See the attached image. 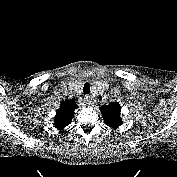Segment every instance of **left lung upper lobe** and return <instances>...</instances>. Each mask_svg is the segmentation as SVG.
<instances>
[{
    "label": "left lung upper lobe",
    "mask_w": 177,
    "mask_h": 177,
    "mask_svg": "<svg viewBox=\"0 0 177 177\" xmlns=\"http://www.w3.org/2000/svg\"><path fill=\"white\" fill-rule=\"evenodd\" d=\"M120 112V105L116 102H111L108 105L101 107L104 122L106 125L114 129L118 128L122 124Z\"/></svg>",
    "instance_id": "1"
}]
</instances>
